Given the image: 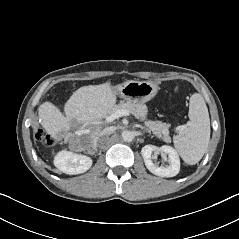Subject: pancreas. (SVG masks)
<instances>
[{
  "mask_svg": "<svg viewBox=\"0 0 239 239\" xmlns=\"http://www.w3.org/2000/svg\"><path fill=\"white\" fill-rule=\"evenodd\" d=\"M120 109L129 111L141 122H144L146 128L157 137L162 138L166 142L171 141L169 137L170 125L161 121H148L146 119L148 108L144 103L121 102L113 108L112 113Z\"/></svg>",
  "mask_w": 239,
  "mask_h": 239,
  "instance_id": "cf45deb5",
  "label": "pancreas"
}]
</instances>
